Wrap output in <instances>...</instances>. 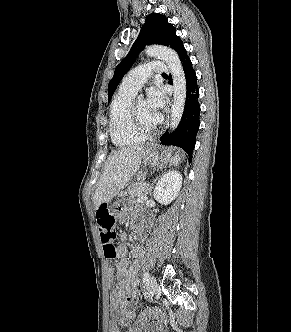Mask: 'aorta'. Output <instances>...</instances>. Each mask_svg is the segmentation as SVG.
I'll list each match as a JSON object with an SVG mask.
<instances>
[{
	"mask_svg": "<svg viewBox=\"0 0 291 332\" xmlns=\"http://www.w3.org/2000/svg\"><path fill=\"white\" fill-rule=\"evenodd\" d=\"M148 57H157L168 65L173 80V104L171 107L170 129L175 130L179 125L186 101V78L178 54L171 48L151 45L146 47Z\"/></svg>",
	"mask_w": 291,
	"mask_h": 332,
	"instance_id": "762f6f07",
	"label": "aorta"
}]
</instances>
